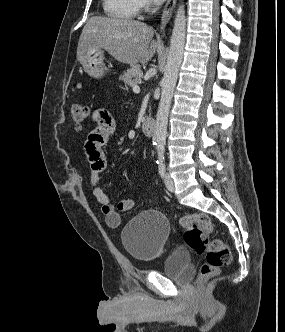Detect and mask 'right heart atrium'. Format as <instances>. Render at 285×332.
Here are the masks:
<instances>
[{"mask_svg":"<svg viewBox=\"0 0 285 332\" xmlns=\"http://www.w3.org/2000/svg\"><path fill=\"white\" fill-rule=\"evenodd\" d=\"M149 0H140V5L142 6V7H147V6H149Z\"/></svg>","mask_w":285,"mask_h":332,"instance_id":"d8ad5b80","label":"right heart atrium"}]
</instances>
